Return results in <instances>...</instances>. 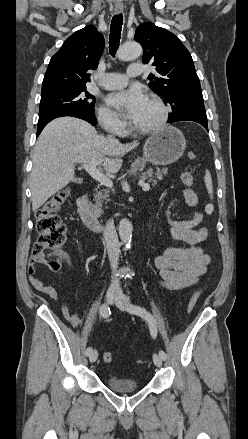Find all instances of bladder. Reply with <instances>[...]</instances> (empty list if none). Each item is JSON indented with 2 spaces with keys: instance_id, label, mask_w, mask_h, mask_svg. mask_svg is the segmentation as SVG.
<instances>
[{
  "instance_id": "1",
  "label": "bladder",
  "mask_w": 248,
  "mask_h": 439,
  "mask_svg": "<svg viewBox=\"0 0 248 439\" xmlns=\"http://www.w3.org/2000/svg\"><path fill=\"white\" fill-rule=\"evenodd\" d=\"M108 388L114 392H135L139 389L138 383L131 378L108 376L106 379Z\"/></svg>"
}]
</instances>
